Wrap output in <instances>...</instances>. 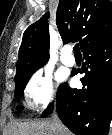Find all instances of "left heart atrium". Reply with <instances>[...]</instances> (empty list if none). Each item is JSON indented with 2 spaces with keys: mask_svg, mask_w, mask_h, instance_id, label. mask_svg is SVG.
<instances>
[{
  "mask_svg": "<svg viewBox=\"0 0 112 135\" xmlns=\"http://www.w3.org/2000/svg\"><path fill=\"white\" fill-rule=\"evenodd\" d=\"M59 78H60L61 80H63V79L65 78V76H64L63 74H61V75L59 76Z\"/></svg>",
  "mask_w": 112,
  "mask_h": 135,
  "instance_id": "left-heart-atrium-1",
  "label": "left heart atrium"
}]
</instances>
